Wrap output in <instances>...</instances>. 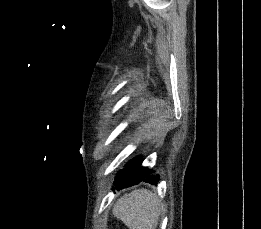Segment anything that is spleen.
I'll return each instance as SVG.
<instances>
[{"label": "spleen", "instance_id": "3e777b00", "mask_svg": "<svg viewBox=\"0 0 261 229\" xmlns=\"http://www.w3.org/2000/svg\"><path fill=\"white\" fill-rule=\"evenodd\" d=\"M161 203L147 189H136L118 199L113 215L123 221L128 229H156Z\"/></svg>", "mask_w": 261, "mask_h": 229}]
</instances>
